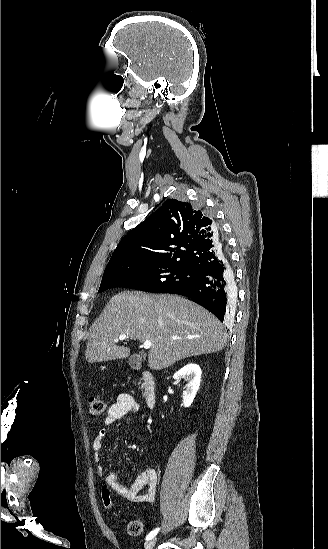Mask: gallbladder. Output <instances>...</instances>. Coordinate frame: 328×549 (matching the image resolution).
<instances>
[{
	"instance_id": "gallbladder-1",
	"label": "gallbladder",
	"mask_w": 328,
	"mask_h": 549,
	"mask_svg": "<svg viewBox=\"0 0 328 549\" xmlns=\"http://www.w3.org/2000/svg\"><path fill=\"white\" fill-rule=\"evenodd\" d=\"M128 363L131 369H135V371H138V369H141L142 367V359L140 355H131L130 359H128Z\"/></svg>"
}]
</instances>
